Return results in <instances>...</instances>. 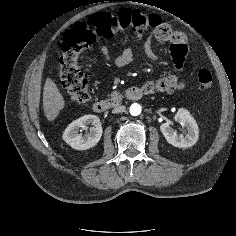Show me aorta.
<instances>
[{
  "mask_svg": "<svg viewBox=\"0 0 236 236\" xmlns=\"http://www.w3.org/2000/svg\"><path fill=\"white\" fill-rule=\"evenodd\" d=\"M141 111H142V107H141V105H139L137 103H133L129 108V112L132 116L140 115Z\"/></svg>",
  "mask_w": 236,
  "mask_h": 236,
  "instance_id": "762f6f07",
  "label": "aorta"
}]
</instances>
